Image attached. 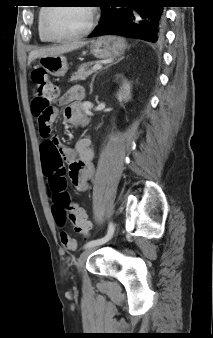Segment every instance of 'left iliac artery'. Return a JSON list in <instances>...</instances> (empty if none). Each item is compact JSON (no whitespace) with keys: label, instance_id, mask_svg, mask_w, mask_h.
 Here are the masks:
<instances>
[{"label":"left iliac artery","instance_id":"left-iliac-artery-1","mask_svg":"<svg viewBox=\"0 0 213 338\" xmlns=\"http://www.w3.org/2000/svg\"><path fill=\"white\" fill-rule=\"evenodd\" d=\"M114 229H115L114 224L112 222H110L109 225H108L107 234L100 239L91 240V241L87 242L86 245L84 246V248L87 249V248L97 246V245H102V244L108 242L114 234Z\"/></svg>","mask_w":213,"mask_h":338}]
</instances>
